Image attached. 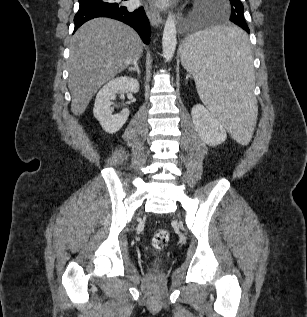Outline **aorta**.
<instances>
[{
  "mask_svg": "<svg viewBox=\"0 0 307 317\" xmlns=\"http://www.w3.org/2000/svg\"><path fill=\"white\" fill-rule=\"evenodd\" d=\"M177 45V30L175 24V16L170 13L165 22L163 38H162V53L164 59L169 62L172 60Z\"/></svg>",
  "mask_w": 307,
  "mask_h": 317,
  "instance_id": "1",
  "label": "aorta"
}]
</instances>
